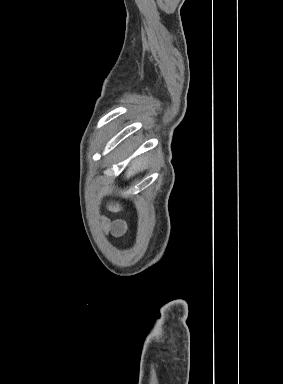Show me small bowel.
Listing matches in <instances>:
<instances>
[{
	"label": "small bowel",
	"instance_id": "c3829d8e",
	"mask_svg": "<svg viewBox=\"0 0 283 384\" xmlns=\"http://www.w3.org/2000/svg\"><path fill=\"white\" fill-rule=\"evenodd\" d=\"M107 224V221L106 220H104L103 221V226H105Z\"/></svg>",
	"mask_w": 283,
	"mask_h": 384
}]
</instances>
